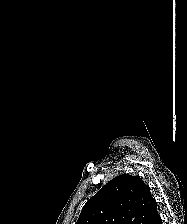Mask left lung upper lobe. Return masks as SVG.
<instances>
[{"label":"left lung upper lobe","instance_id":"left-lung-upper-lobe-1","mask_svg":"<svg viewBox=\"0 0 187 224\" xmlns=\"http://www.w3.org/2000/svg\"><path fill=\"white\" fill-rule=\"evenodd\" d=\"M158 216L150 187L137 176L122 174L86 202L75 224H152Z\"/></svg>","mask_w":187,"mask_h":224}]
</instances>
